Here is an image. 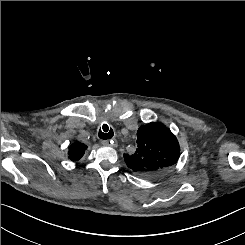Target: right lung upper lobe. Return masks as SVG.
<instances>
[{
  "label": "right lung upper lobe",
  "mask_w": 245,
  "mask_h": 245,
  "mask_svg": "<svg viewBox=\"0 0 245 245\" xmlns=\"http://www.w3.org/2000/svg\"><path fill=\"white\" fill-rule=\"evenodd\" d=\"M87 146L81 142H75L69 147V159L72 161H78L83 155Z\"/></svg>",
  "instance_id": "1"
}]
</instances>
